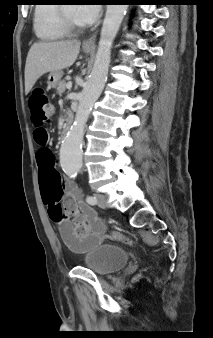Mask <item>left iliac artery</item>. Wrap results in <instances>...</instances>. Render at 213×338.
<instances>
[{
  "instance_id": "1",
  "label": "left iliac artery",
  "mask_w": 213,
  "mask_h": 338,
  "mask_svg": "<svg viewBox=\"0 0 213 338\" xmlns=\"http://www.w3.org/2000/svg\"><path fill=\"white\" fill-rule=\"evenodd\" d=\"M86 201L90 205H95L97 203V199L95 197H93V196H90V195H88L86 197Z\"/></svg>"
}]
</instances>
